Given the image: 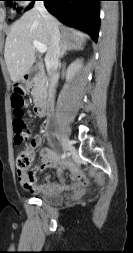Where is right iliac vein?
Masks as SVG:
<instances>
[{
    "mask_svg": "<svg viewBox=\"0 0 133 253\" xmlns=\"http://www.w3.org/2000/svg\"><path fill=\"white\" fill-rule=\"evenodd\" d=\"M70 147H71V142H70L69 138L64 135L62 138V148L66 152L67 150L70 149Z\"/></svg>",
    "mask_w": 133,
    "mask_h": 253,
    "instance_id": "63e3f726",
    "label": "right iliac vein"
}]
</instances>
